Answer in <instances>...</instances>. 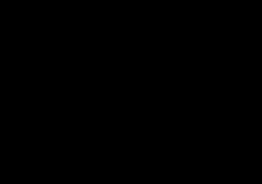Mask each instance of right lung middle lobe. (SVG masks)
Wrapping results in <instances>:
<instances>
[{
    "instance_id": "dd1d6c3e",
    "label": "right lung middle lobe",
    "mask_w": 262,
    "mask_h": 184,
    "mask_svg": "<svg viewBox=\"0 0 262 184\" xmlns=\"http://www.w3.org/2000/svg\"><path fill=\"white\" fill-rule=\"evenodd\" d=\"M95 37L88 35H76L65 39L59 48L58 62L56 64V74L60 77H66L68 79V86L63 89L66 92H73V81L75 79V71L77 67V47L81 42L86 41L92 44L95 41Z\"/></svg>"
}]
</instances>
